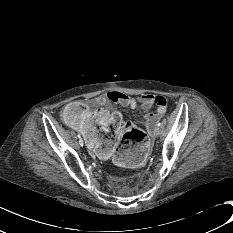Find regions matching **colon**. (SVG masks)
<instances>
[{
	"mask_svg": "<svg viewBox=\"0 0 233 233\" xmlns=\"http://www.w3.org/2000/svg\"><path fill=\"white\" fill-rule=\"evenodd\" d=\"M84 111V106L81 103L73 102L65 108L63 112L64 120L69 125L79 123L83 117ZM100 116L102 121L107 120L106 114H101ZM121 130L123 134L119 143L120 150L133 149L136 144L145 143L147 141L144 131L135 127L132 123H122Z\"/></svg>",
	"mask_w": 233,
	"mask_h": 233,
	"instance_id": "5ec220e1",
	"label": "colon"
}]
</instances>
